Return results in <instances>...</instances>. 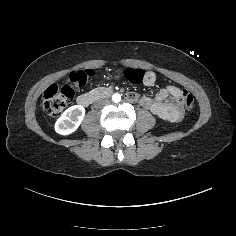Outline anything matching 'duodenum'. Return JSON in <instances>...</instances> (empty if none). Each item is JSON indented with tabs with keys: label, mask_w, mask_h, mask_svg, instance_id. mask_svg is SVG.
<instances>
[{
	"label": "duodenum",
	"mask_w": 236,
	"mask_h": 236,
	"mask_svg": "<svg viewBox=\"0 0 236 236\" xmlns=\"http://www.w3.org/2000/svg\"><path fill=\"white\" fill-rule=\"evenodd\" d=\"M111 90L107 88H97L92 91L86 92L78 96L77 103L83 107H87L95 100L100 98H105L110 96ZM171 94V99L168 101H163L162 97L166 94ZM129 101H136L137 96L133 93H128L126 95ZM141 105L151 110L152 113L160 116L161 118L177 121L181 117V104L177 95L170 91H163L156 96L155 99H143Z\"/></svg>",
	"instance_id": "duodenum-1"
}]
</instances>
